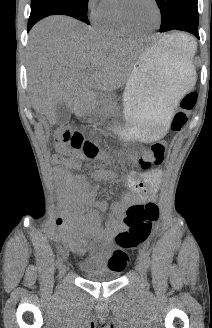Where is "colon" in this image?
Listing matches in <instances>:
<instances>
[{"label": "colon", "instance_id": "1", "mask_svg": "<svg viewBox=\"0 0 212 328\" xmlns=\"http://www.w3.org/2000/svg\"><path fill=\"white\" fill-rule=\"evenodd\" d=\"M197 101V93L190 91L180 100L179 107L173 116L171 130L173 132L181 131L187 124ZM54 141L56 145L67 149L72 154L79 157L83 162L90 163L95 160L103 159L104 155L100 153L99 148L90 140H87L76 129L68 126L59 127L54 132ZM166 151V142L161 140L153 143L149 149L141 155L138 160V168L141 171H147L151 165H159L164 160ZM113 162H118V157L112 158ZM112 169H122V164H112ZM110 166H103V173H110ZM125 169H133V164H125ZM159 217V209L154 203L132 205L126 212V221L128 230L120 232L116 236L118 249L110 257V264L126 266L129 257L126 250L133 249L143 244L150 236L152 224Z\"/></svg>", "mask_w": 212, "mask_h": 328}]
</instances>
